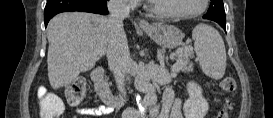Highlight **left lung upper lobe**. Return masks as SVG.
Listing matches in <instances>:
<instances>
[{"label": "left lung upper lobe", "instance_id": "obj_1", "mask_svg": "<svg viewBox=\"0 0 273 118\" xmlns=\"http://www.w3.org/2000/svg\"><path fill=\"white\" fill-rule=\"evenodd\" d=\"M203 18L226 23L223 0H211L209 10Z\"/></svg>", "mask_w": 273, "mask_h": 118}]
</instances>
